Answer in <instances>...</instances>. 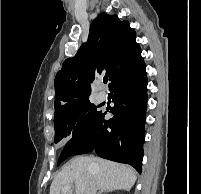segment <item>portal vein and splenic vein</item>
Returning <instances> with one entry per match:
<instances>
[{"label":"portal vein and splenic vein","instance_id":"portal-vein-and-splenic-vein-1","mask_svg":"<svg viewBox=\"0 0 201 194\" xmlns=\"http://www.w3.org/2000/svg\"><path fill=\"white\" fill-rule=\"evenodd\" d=\"M71 190V186H64L62 188V193L65 194L67 191Z\"/></svg>","mask_w":201,"mask_h":194}]
</instances>
